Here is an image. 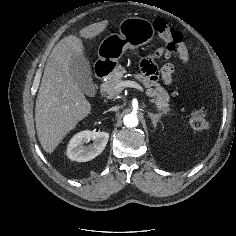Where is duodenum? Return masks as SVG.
Returning <instances> with one entry per match:
<instances>
[{
	"instance_id": "duodenum-1",
	"label": "duodenum",
	"mask_w": 236,
	"mask_h": 236,
	"mask_svg": "<svg viewBox=\"0 0 236 236\" xmlns=\"http://www.w3.org/2000/svg\"><path fill=\"white\" fill-rule=\"evenodd\" d=\"M113 70V66L109 64H103L100 66H97L95 75L97 80L101 81L103 80L107 75H109Z\"/></svg>"
}]
</instances>
